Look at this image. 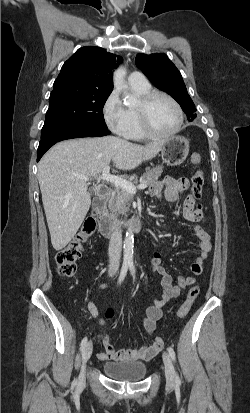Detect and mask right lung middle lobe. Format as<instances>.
<instances>
[{
	"label": "right lung middle lobe",
	"instance_id": "1",
	"mask_svg": "<svg viewBox=\"0 0 250 413\" xmlns=\"http://www.w3.org/2000/svg\"><path fill=\"white\" fill-rule=\"evenodd\" d=\"M110 93L111 91L91 90L75 85L53 88L41 139L69 127L108 129L103 107Z\"/></svg>",
	"mask_w": 250,
	"mask_h": 413
}]
</instances>
